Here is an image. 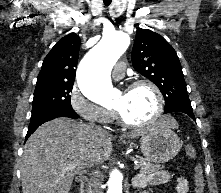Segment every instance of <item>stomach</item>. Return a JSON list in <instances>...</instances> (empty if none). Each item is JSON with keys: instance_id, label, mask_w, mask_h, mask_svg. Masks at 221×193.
<instances>
[{"instance_id": "stomach-1", "label": "stomach", "mask_w": 221, "mask_h": 193, "mask_svg": "<svg viewBox=\"0 0 221 193\" xmlns=\"http://www.w3.org/2000/svg\"><path fill=\"white\" fill-rule=\"evenodd\" d=\"M124 143H126L124 141ZM141 152L145 159L154 163H164L174 158L182 144L172 128L159 122L152 125L141 139Z\"/></svg>"}]
</instances>
